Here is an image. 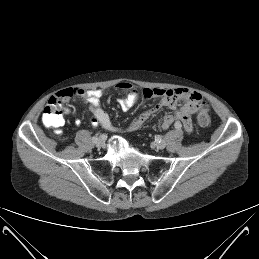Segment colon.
I'll return each instance as SVG.
<instances>
[{
    "label": "colon",
    "instance_id": "obj_1",
    "mask_svg": "<svg viewBox=\"0 0 259 259\" xmlns=\"http://www.w3.org/2000/svg\"><path fill=\"white\" fill-rule=\"evenodd\" d=\"M61 103L62 101L55 98H51L49 100L42 113V122L44 125L48 127L59 128L63 124L64 109L62 108ZM210 122L211 118L208 107L202 101L201 109L198 114V123L202 127H207L209 126Z\"/></svg>",
    "mask_w": 259,
    "mask_h": 259
}]
</instances>
